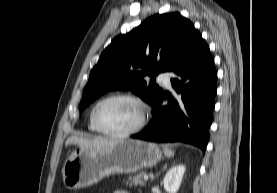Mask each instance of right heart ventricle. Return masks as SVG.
I'll use <instances>...</instances> for the list:
<instances>
[{"label": "right heart ventricle", "mask_w": 277, "mask_h": 193, "mask_svg": "<svg viewBox=\"0 0 277 193\" xmlns=\"http://www.w3.org/2000/svg\"><path fill=\"white\" fill-rule=\"evenodd\" d=\"M88 130L95 133L98 132L91 121V117H89V120H88Z\"/></svg>", "instance_id": "1"}]
</instances>
